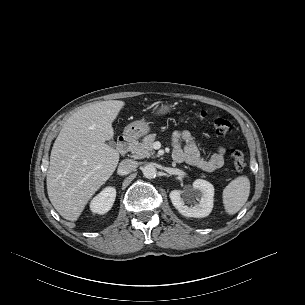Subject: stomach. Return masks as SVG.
Wrapping results in <instances>:
<instances>
[{
    "mask_svg": "<svg viewBox=\"0 0 305 305\" xmlns=\"http://www.w3.org/2000/svg\"><path fill=\"white\" fill-rule=\"evenodd\" d=\"M171 111V106L168 104H162L160 107H158L155 111V114L157 116H161L164 114H167ZM150 122L142 119L134 121L130 124H128L123 131L124 137L126 139H136L139 138L148 132H150Z\"/></svg>",
    "mask_w": 305,
    "mask_h": 305,
    "instance_id": "1",
    "label": "stomach"
}]
</instances>
